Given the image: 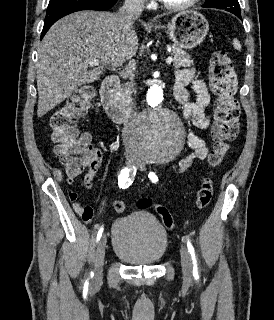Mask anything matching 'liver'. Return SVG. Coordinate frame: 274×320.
<instances>
[{
    "label": "liver",
    "instance_id": "obj_1",
    "mask_svg": "<svg viewBox=\"0 0 274 320\" xmlns=\"http://www.w3.org/2000/svg\"><path fill=\"white\" fill-rule=\"evenodd\" d=\"M137 50L135 32L123 34L120 16L114 12L84 10L58 20L38 48V118L80 86L100 80L104 68H117L131 60ZM93 60H99L97 68L90 66Z\"/></svg>",
    "mask_w": 274,
    "mask_h": 320
}]
</instances>
